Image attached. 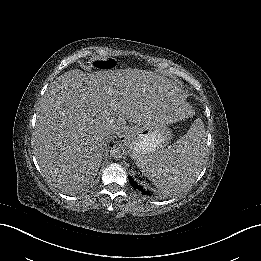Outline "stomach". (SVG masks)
<instances>
[{"label": "stomach", "instance_id": "stomach-1", "mask_svg": "<svg viewBox=\"0 0 261 261\" xmlns=\"http://www.w3.org/2000/svg\"><path fill=\"white\" fill-rule=\"evenodd\" d=\"M130 156L137 162L158 152L168 140L161 116H150L130 130Z\"/></svg>", "mask_w": 261, "mask_h": 261}]
</instances>
